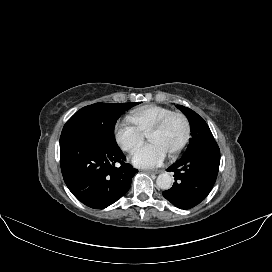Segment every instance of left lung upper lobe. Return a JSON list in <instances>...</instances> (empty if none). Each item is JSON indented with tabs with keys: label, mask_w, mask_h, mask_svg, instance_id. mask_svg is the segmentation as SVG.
Returning <instances> with one entry per match:
<instances>
[{
	"label": "left lung upper lobe",
	"mask_w": 272,
	"mask_h": 272,
	"mask_svg": "<svg viewBox=\"0 0 272 272\" xmlns=\"http://www.w3.org/2000/svg\"><path fill=\"white\" fill-rule=\"evenodd\" d=\"M177 107L187 116L190 123L192 138L189 141L185 153L215 141L208 125L202 117L187 107L182 105H177Z\"/></svg>",
	"instance_id": "left-lung-upper-lobe-1"
}]
</instances>
